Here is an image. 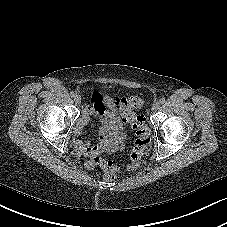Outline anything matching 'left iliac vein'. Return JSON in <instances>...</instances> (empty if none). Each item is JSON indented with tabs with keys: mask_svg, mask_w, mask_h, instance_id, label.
<instances>
[{
	"mask_svg": "<svg viewBox=\"0 0 227 227\" xmlns=\"http://www.w3.org/2000/svg\"><path fill=\"white\" fill-rule=\"evenodd\" d=\"M159 107H160V103L159 102H154L152 104L151 110L152 111H156Z\"/></svg>",
	"mask_w": 227,
	"mask_h": 227,
	"instance_id": "1",
	"label": "left iliac vein"
}]
</instances>
